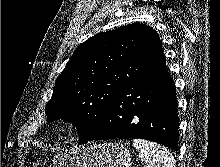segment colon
<instances>
[{
	"label": "colon",
	"instance_id": "obj_1",
	"mask_svg": "<svg viewBox=\"0 0 220 167\" xmlns=\"http://www.w3.org/2000/svg\"><path fill=\"white\" fill-rule=\"evenodd\" d=\"M35 167H45L44 165H36Z\"/></svg>",
	"mask_w": 220,
	"mask_h": 167
}]
</instances>
